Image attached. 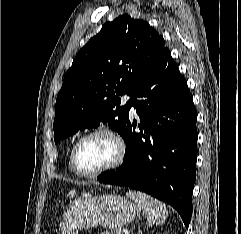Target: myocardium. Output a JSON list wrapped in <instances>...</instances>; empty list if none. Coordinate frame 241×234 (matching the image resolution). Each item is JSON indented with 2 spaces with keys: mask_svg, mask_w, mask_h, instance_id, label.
Returning a JSON list of instances; mask_svg holds the SVG:
<instances>
[{
  "mask_svg": "<svg viewBox=\"0 0 241 234\" xmlns=\"http://www.w3.org/2000/svg\"><path fill=\"white\" fill-rule=\"evenodd\" d=\"M107 135L108 137H110L114 143L116 144L117 147V154L115 159L109 163L108 165L92 171V172H84L82 171L77 163V152L78 149L80 147V145L88 138L95 136V135ZM126 156V144L125 141L123 140V138L114 130L108 128V127H97L94 128L90 131H88L87 133H85L84 135H82L73 145L72 150H71V166L73 171L81 176V177H85V178H92V177H96L99 176L105 172L111 171L117 167H119Z\"/></svg>",
  "mask_w": 241,
  "mask_h": 234,
  "instance_id": "f54148a6",
  "label": "myocardium"
}]
</instances>
